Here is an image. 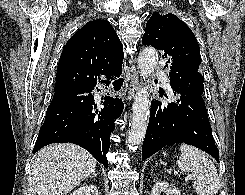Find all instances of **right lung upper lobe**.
I'll use <instances>...</instances> for the list:
<instances>
[{
  "label": "right lung upper lobe",
  "mask_w": 245,
  "mask_h": 195,
  "mask_svg": "<svg viewBox=\"0 0 245 195\" xmlns=\"http://www.w3.org/2000/svg\"><path fill=\"white\" fill-rule=\"evenodd\" d=\"M123 45L106 20L89 21L66 43L59 59L54 91L87 84L100 73L122 71Z\"/></svg>",
  "instance_id": "1"
}]
</instances>
